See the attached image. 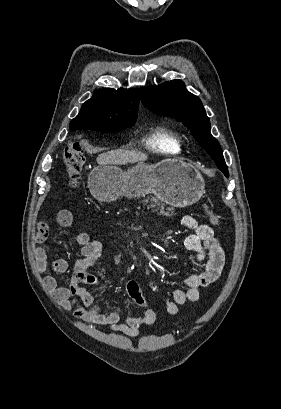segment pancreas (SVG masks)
<instances>
[{
	"label": "pancreas",
	"mask_w": 281,
	"mask_h": 409,
	"mask_svg": "<svg viewBox=\"0 0 281 409\" xmlns=\"http://www.w3.org/2000/svg\"><path fill=\"white\" fill-rule=\"evenodd\" d=\"M150 200H153V202H158L157 198H150ZM145 202H148V200H145ZM158 205L160 207V215H166V217H171L169 211H173V209H170V207H167L165 211V205H163V202H158Z\"/></svg>",
	"instance_id": "1"
}]
</instances>
